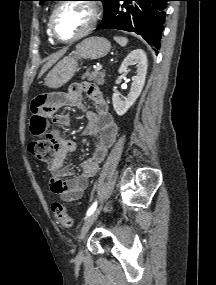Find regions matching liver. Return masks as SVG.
Returning <instances> with one entry per match:
<instances>
[{
  "label": "liver",
  "mask_w": 216,
  "mask_h": 285,
  "mask_svg": "<svg viewBox=\"0 0 216 285\" xmlns=\"http://www.w3.org/2000/svg\"><path fill=\"white\" fill-rule=\"evenodd\" d=\"M66 52V49L59 51L58 53L54 54L51 59L42 67L39 77H41L54 63L58 61L60 57H62Z\"/></svg>",
  "instance_id": "6515ba94"
}]
</instances>
